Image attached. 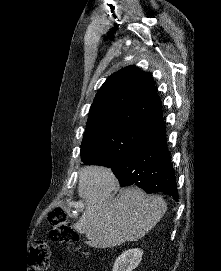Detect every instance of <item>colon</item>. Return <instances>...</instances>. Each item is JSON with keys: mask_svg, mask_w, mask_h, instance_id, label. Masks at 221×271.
Listing matches in <instances>:
<instances>
[{"mask_svg": "<svg viewBox=\"0 0 221 271\" xmlns=\"http://www.w3.org/2000/svg\"><path fill=\"white\" fill-rule=\"evenodd\" d=\"M50 224L49 235L52 241L63 244L77 242L79 235L70 225L69 217L65 209L60 207L52 208L47 216ZM51 251L49 245L44 241L37 242L28 253V265L32 271H47Z\"/></svg>", "mask_w": 221, "mask_h": 271, "instance_id": "5ec220e1", "label": "colon"}]
</instances>
